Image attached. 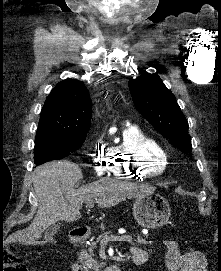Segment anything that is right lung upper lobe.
Listing matches in <instances>:
<instances>
[{
	"label": "right lung upper lobe",
	"instance_id": "obj_1",
	"mask_svg": "<svg viewBox=\"0 0 221 271\" xmlns=\"http://www.w3.org/2000/svg\"><path fill=\"white\" fill-rule=\"evenodd\" d=\"M91 115L92 102L84 83L73 79L63 80L44 103L37 134H86Z\"/></svg>",
	"mask_w": 221,
	"mask_h": 271
}]
</instances>
